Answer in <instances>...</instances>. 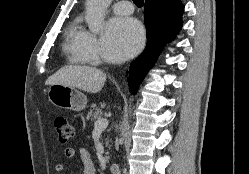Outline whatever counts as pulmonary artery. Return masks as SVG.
I'll return each instance as SVG.
<instances>
[{"label":"pulmonary artery","mask_w":249,"mask_h":174,"mask_svg":"<svg viewBox=\"0 0 249 174\" xmlns=\"http://www.w3.org/2000/svg\"><path fill=\"white\" fill-rule=\"evenodd\" d=\"M113 10L119 15H128L133 12V5L129 1H119L113 5Z\"/></svg>","instance_id":"obj_1"}]
</instances>
